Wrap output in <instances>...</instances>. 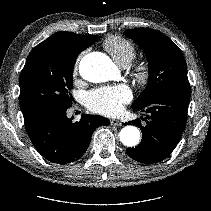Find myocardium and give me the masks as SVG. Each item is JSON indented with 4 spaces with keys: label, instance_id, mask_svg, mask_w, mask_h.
Returning a JSON list of instances; mask_svg holds the SVG:
<instances>
[{
    "label": "myocardium",
    "instance_id": "obj_1",
    "mask_svg": "<svg viewBox=\"0 0 211 211\" xmlns=\"http://www.w3.org/2000/svg\"><path fill=\"white\" fill-rule=\"evenodd\" d=\"M151 75V68L147 61L138 62L133 67L134 78L142 84L149 81Z\"/></svg>",
    "mask_w": 211,
    "mask_h": 211
}]
</instances>
